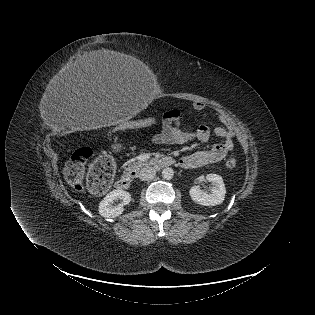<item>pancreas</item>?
<instances>
[{
	"label": "pancreas",
	"instance_id": "pancreas-1",
	"mask_svg": "<svg viewBox=\"0 0 315 315\" xmlns=\"http://www.w3.org/2000/svg\"><path fill=\"white\" fill-rule=\"evenodd\" d=\"M125 165L126 171H138L144 164L139 161H128Z\"/></svg>",
	"mask_w": 315,
	"mask_h": 315
}]
</instances>
